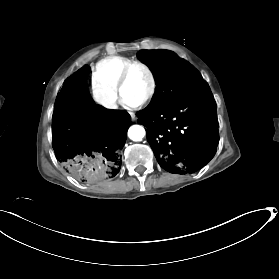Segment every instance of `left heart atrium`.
<instances>
[{
  "mask_svg": "<svg viewBox=\"0 0 279 279\" xmlns=\"http://www.w3.org/2000/svg\"><path fill=\"white\" fill-rule=\"evenodd\" d=\"M127 106H129V107H134L136 104H127V103H125Z\"/></svg>",
  "mask_w": 279,
  "mask_h": 279,
  "instance_id": "1",
  "label": "left heart atrium"
}]
</instances>
